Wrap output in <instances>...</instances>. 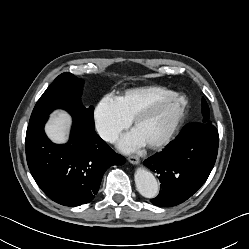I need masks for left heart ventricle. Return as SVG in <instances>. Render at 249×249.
Wrapping results in <instances>:
<instances>
[{"label": "left heart ventricle", "instance_id": "1", "mask_svg": "<svg viewBox=\"0 0 249 249\" xmlns=\"http://www.w3.org/2000/svg\"><path fill=\"white\" fill-rule=\"evenodd\" d=\"M182 104V100L176 98L162 104L149 117L140 122L135 130L147 144L163 139L177 120Z\"/></svg>", "mask_w": 249, "mask_h": 249}]
</instances>
